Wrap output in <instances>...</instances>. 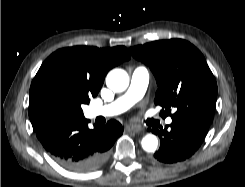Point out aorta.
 <instances>
[{
    "mask_svg": "<svg viewBox=\"0 0 245 187\" xmlns=\"http://www.w3.org/2000/svg\"><path fill=\"white\" fill-rule=\"evenodd\" d=\"M106 85L114 92H122L129 85V76L122 69H114L110 71L106 77ZM142 148L147 152H154L158 146V139L153 134H147L143 137Z\"/></svg>",
    "mask_w": 245,
    "mask_h": 187,
    "instance_id": "1",
    "label": "aorta"
}]
</instances>
